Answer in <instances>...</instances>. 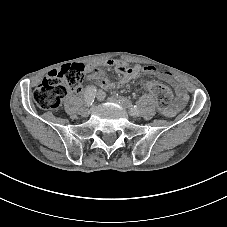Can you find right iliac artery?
<instances>
[{
    "label": "right iliac artery",
    "instance_id": "right-iliac-artery-1",
    "mask_svg": "<svg viewBox=\"0 0 227 227\" xmlns=\"http://www.w3.org/2000/svg\"><path fill=\"white\" fill-rule=\"evenodd\" d=\"M96 96V88L94 86H89L84 92L85 104L87 106L92 105Z\"/></svg>",
    "mask_w": 227,
    "mask_h": 227
}]
</instances>
